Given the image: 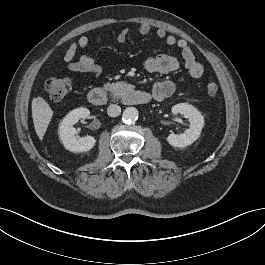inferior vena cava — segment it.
Listing matches in <instances>:
<instances>
[{
  "instance_id": "1",
  "label": "inferior vena cava",
  "mask_w": 265,
  "mask_h": 265,
  "mask_svg": "<svg viewBox=\"0 0 265 265\" xmlns=\"http://www.w3.org/2000/svg\"><path fill=\"white\" fill-rule=\"evenodd\" d=\"M121 113V107L117 104H111L107 108V114L111 117H117Z\"/></svg>"
}]
</instances>
